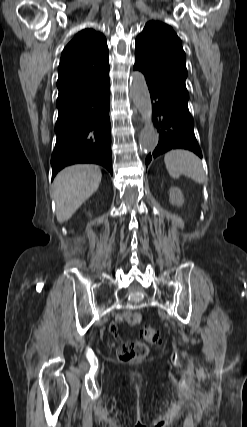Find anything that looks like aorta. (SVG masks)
I'll use <instances>...</instances> for the list:
<instances>
[{
	"label": "aorta",
	"mask_w": 247,
	"mask_h": 427,
	"mask_svg": "<svg viewBox=\"0 0 247 427\" xmlns=\"http://www.w3.org/2000/svg\"><path fill=\"white\" fill-rule=\"evenodd\" d=\"M130 94L133 102L144 120V128L139 137V148L142 153L152 152L158 143V134L153 126L152 105L144 75L134 71L130 77Z\"/></svg>",
	"instance_id": "762f6f07"
}]
</instances>
